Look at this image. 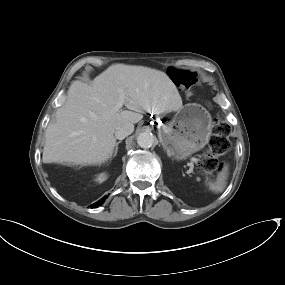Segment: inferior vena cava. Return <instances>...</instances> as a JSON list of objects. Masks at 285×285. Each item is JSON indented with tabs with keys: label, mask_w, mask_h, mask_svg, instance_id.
Segmentation results:
<instances>
[{
	"label": "inferior vena cava",
	"mask_w": 285,
	"mask_h": 285,
	"mask_svg": "<svg viewBox=\"0 0 285 285\" xmlns=\"http://www.w3.org/2000/svg\"><path fill=\"white\" fill-rule=\"evenodd\" d=\"M134 131V125L131 123H125L119 126L115 131V137L119 140L124 139Z\"/></svg>",
	"instance_id": "obj_1"
}]
</instances>
